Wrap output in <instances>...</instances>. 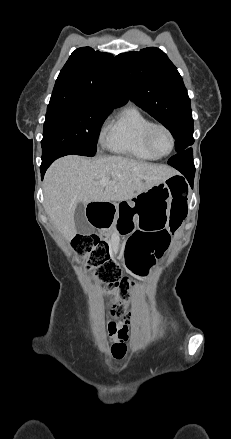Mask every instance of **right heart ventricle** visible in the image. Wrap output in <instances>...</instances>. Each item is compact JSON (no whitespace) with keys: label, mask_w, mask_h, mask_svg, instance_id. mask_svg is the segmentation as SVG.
<instances>
[{"label":"right heart ventricle","mask_w":231,"mask_h":439,"mask_svg":"<svg viewBox=\"0 0 231 439\" xmlns=\"http://www.w3.org/2000/svg\"><path fill=\"white\" fill-rule=\"evenodd\" d=\"M151 119L135 106L122 109L104 132L103 144L112 153L138 160L158 159L147 147L145 133Z\"/></svg>","instance_id":"right-heart-ventricle-1"}]
</instances>
